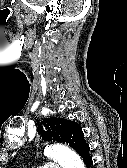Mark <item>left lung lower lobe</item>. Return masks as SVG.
<instances>
[{"label": "left lung lower lobe", "instance_id": "0a47b994", "mask_svg": "<svg viewBox=\"0 0 127 168\" xmlns=\"http://www.w3.org/2000/svg\"><path fill=\"white\" fill-rule=\"evenodd\" d=\"M89 151H90V147L85 141L77 150V153L82 157L87 168H90V166L93 164V161L89 155Z\"/></svg>", "mask_w": 127, "mask_h": 168}]
</instances>
